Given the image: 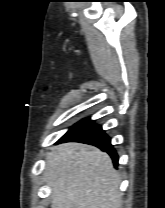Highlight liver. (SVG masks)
Instances as JSON below:
<instances>
[{
	"label": "liver",
	"instance_id": "obj_1",
	"mask_svg": "<svg viewBox=\"0 0 165 208\" xmlns=\"http://www.w3.org/2000/svg\"><path fill=\"white\" fill-rule=\"evenodd\" d=\"M44 176L51 208H121L120 177L98 148L64 143L47 156Z\"/></svg>",
	"mask_w": 165,
	"mask_h": 208
}]
</instances>
